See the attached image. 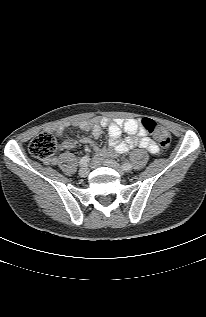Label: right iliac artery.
<instances>
[{"instance_id": "obj_1", "label": "right iliac artery", "mask_w": 206, "mask_h": 317, "mask_svg": "<svg viewBox=\"0 0 206 317\" xmlns=\"http://www.w3.org/2000/svg\"><path fill=\"white\" fill-rule=\"evenodd\" d=\"M89 160H90L89 156L86 155V156L81 158L79 165L82 167H85L89 163Z\"/></svg>"}]
</instances>
